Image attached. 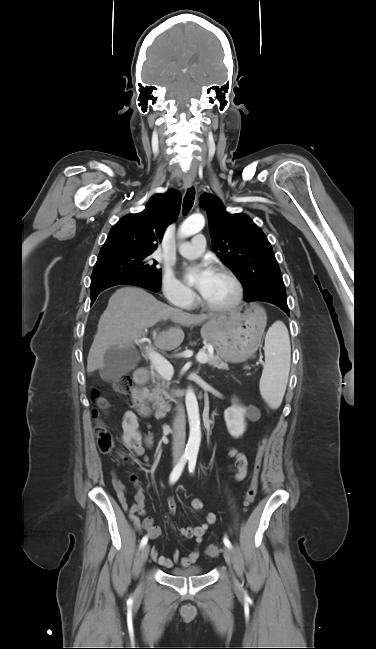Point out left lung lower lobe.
I'll return each mask as SVG.
<instances>
[{
	"label": "left lung lower lobe",
	"instance_id": "left-lung-lower-lobe-1",
	"mask_svg": "<svg viewBox=\"0 0 376 649\" xmlns=\"http://www.w3.org/2000/svg\"><path fill=\"white\" fill-rule=\"evenodd\" d=\"M260 301H266V302L272 303V304L278 306L279 308H281L288 316H290L289 308L287 306V302L278 301V300L272 299V298H265L264 300H260Z\"/></svg>",
	"mask_w": 376,
	"mask_h": 649
}]
</instances>
